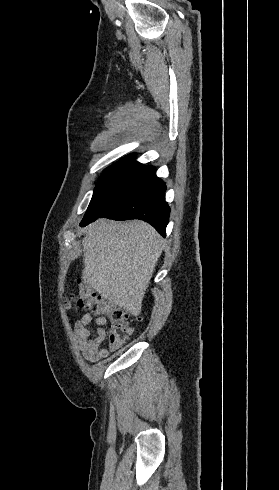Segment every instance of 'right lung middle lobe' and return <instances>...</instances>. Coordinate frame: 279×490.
Wrapping results in <instances>:
<instances>
[{
    "mask_svg": "<svg viewBox=\"0 0 279 490\" xmlns=\"http://www.w3.org/2000/svg\"><path fill=\"white\" fill-rule=\"evenodd\" d=\"M155 170L153 166L128 162H117L115 165L106 168L94 189L92 199L81 223L98 218L104 211L108 199L115 193L126 187L153 179L156 176Z\"/></svg>",
    "mask_w": 279,
    "mask_h": 490,
    "instance_id": "dd1d6c3e",
    "label": "right lung middle lobe"
}]
</instances>
